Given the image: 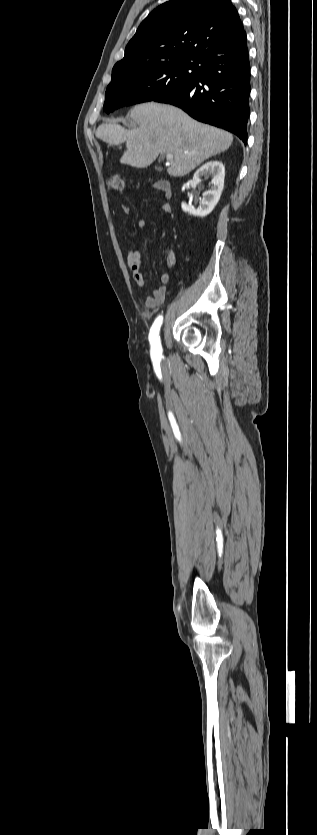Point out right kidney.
Listing matches in <instances>:
<instances>
[{"label":"right kidney","mask_w":317,"mask_h":835,"mask_svg":"<svg viewBox=\"0 0 317 835\" xmlns=\"http://www.w3.org/2000/svg\"><path fill=\"white\" fill-rule=\"evenodd\" d=\"M202 176H212L210 189L205 193L197 209L193 206L182 203L184 212L191 215L205 217L210 214L218 203L224 187L225 168L222 162L212 160L202 165L193 176V183L197 184Z\"/></svg>","instance_id":"right-kidney-1"}]
</instances>
